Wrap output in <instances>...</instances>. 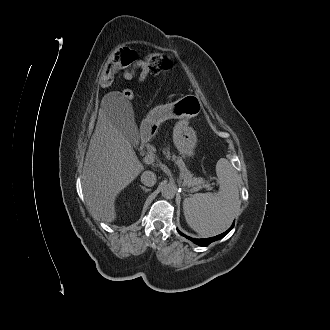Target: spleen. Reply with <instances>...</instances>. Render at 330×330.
<instances>
[{
    "label": "spleen",
    "instance_id": "spleen-1",
    "mask_svg": "<svg viewBox=\"0 0 330 330\" xmlns=\"http://www.w3.org/2000/svg\"><path fill=\"white\" fill-rule=\"evenodd\" d=\"M216 174L220 185L218 193H196L183 201L186 222L202 237L223 232L240 208L236 170L227 159L221 158L216 164Z\"/></svg>",
    "mask_w": 330,
    "mask_h": 330
}]
</instances>
